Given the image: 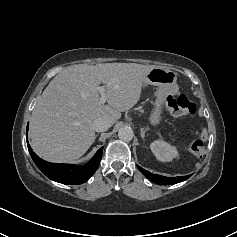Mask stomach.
<instances>
[{
	"instance_id": "obj_1",
	"label": "stomach",
	"mask_w": 237,
	"mask_h": 237,
	"mask_svg": "<svg viewBox=\"0 0 237 237\" xmlns=\"http://www.w3.org/2000/svg\"><path fill=\"white\" fill-rule=\"evenodd\" d=\"M176 80V72L161 67H154L146 74L143 84L157 87L155 107L149 117L151 124L156 125L160 122L164 97L167 91L176 84Z\"/></svg>"
}]
</instances>
